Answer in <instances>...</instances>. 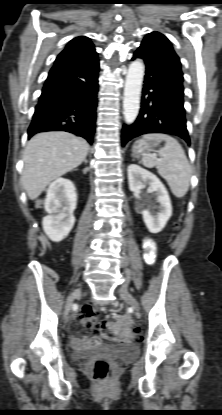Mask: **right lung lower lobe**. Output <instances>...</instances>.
<instances>
[{
	"instance_id": "1",
	"label": "right lung lower lobe",
	"mask_w": 222,
	"mask_h": 415,
	"mask_svg": "<svg viewBox=\"0 0 222 415\" xmlns=\"http://www.w3.org/2000/svg\"><path fill=\"white\" fill-rule=\"evenodd\" d=\"M98 71L97 54L56 59L35 107L28 138L39 132L60 130L81 136L92 144Z\"/></svg>"
}]
</instances>
